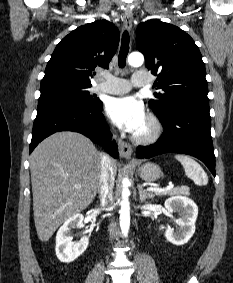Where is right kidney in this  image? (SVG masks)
<instances>
[{"label":"right kidney","instance_id":"obj_1","mask_svg":"<svg viewBox=\"0 0 233 283\" xmlns=\"http://www.w3.org/2000/svg\"><path fill=\"white\" fill-rule=\"evenodd\" d=\"M82 214H75L67 219L60 227L56 234V256L64 263H70L76 260L88 247L89 239L84 236L78 242H73L70 237L71 231L74 228L82 226Z\"/></svg>","mask_w":233,"mask_h":283}]
</instances>
